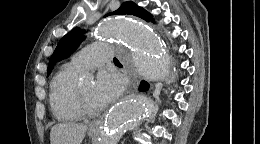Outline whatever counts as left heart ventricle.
<instances>
[{
	"mask_svg": "<svg viewBox=\"0 0 260 144\" xmlns=\"http://www.w3.org/2000/svg\"><path fill=\"white\" fill-rule=\"evenodd\" d=\"M82 86V90L84 93V96L86 98V100L88 101V103L93 107V108H97L99 109V105L97 104V102L94 99V82H84L81 84Z\"/></svg>",
	"mask_w": 260,
	"mask_h": 144,
	"instance_id": "left-heart-ventricle-1",
	"label": "left heart ventricle"
}]
</instances>
